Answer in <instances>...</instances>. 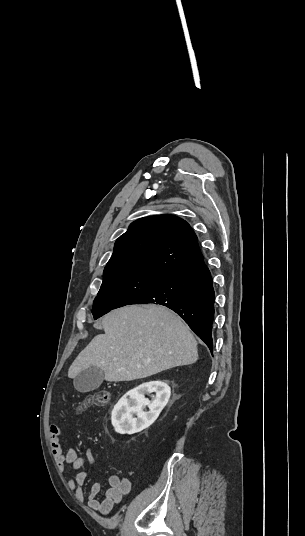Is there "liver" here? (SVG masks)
I'll return each instance as SVG.
<instances>
[{"label":"liver","mask_w":305,"mask_h":536,"mask_svg":"<svg viewBox=\"0 0 305 536\" xmlns=\"http://www.w3.org/2000/svg\"><path fill=\"white\" fill-rule=\"evenodd\" d=\"M99 334L68 370L76 378L89 366L106 382H131L198 360L197 342L181 318L165 306H125L106 314Z\"/></svg>","instance_id":"liver-1"}]
</instances>
